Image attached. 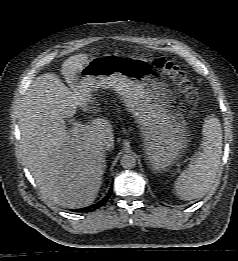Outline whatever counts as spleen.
Returning a JSON list of instances; mask_svg holds the SVG:
<instances>
[{"label":"spleen","mask_w":238,"mask_h":261,"mask_svg":"<svg viewBox=\"0 0 238 261\" xmlns=\"http://www.w3.org/2000/svg\"><path fill=\"white\" fill-rule=\"evenodd\" d=\"M202 151L176 179L174 188L181 200L203 197L213 186L222 154V128L219 119L209 116L202 128Z\"/></svg>","instance_id":"3e777b00"}]
</instances>
